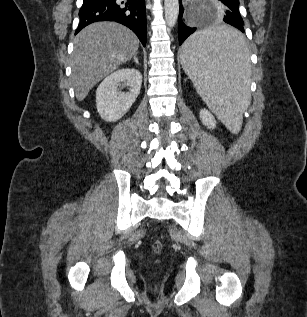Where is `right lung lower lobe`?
<instances>
[{
	"mask_svg": "<svg viewBox=\"0 0 307 317\" xmlns=\"http://www.w3.org/2000/svg\"><path fill=\"white\" fill-rule=\"evenodd\" d=\"M79 17L76 33L93 22L115 21L130 28L146 45L145 0H83Z\"/></svg>",
	"mask_w": 307,
	"mask_h": 317,
	"instance_id": "obj_1",
	"label": "right lung lower lobe"
}]
</instances>
